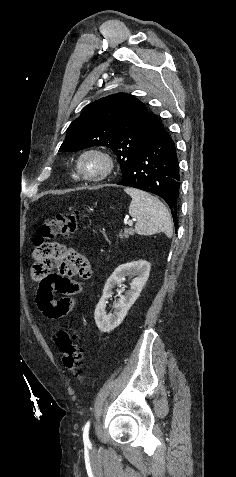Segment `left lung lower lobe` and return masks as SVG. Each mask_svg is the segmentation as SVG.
I'll use <instances>...</instances> for the list:
<instances>
[{
  "label": "left lung lower lobe",
  "mask_w": 236,
  "mask_h": 477,
  "mask_svg": "<svg viewBox=\"0 0 236 477\" xmlns=\"http://www.w3.org/2000/svg\"><path fill=\"white\" fill-rule=\"evenodd\" d=\"M117 184L161 197L170 207L177 229L179 162L175 144L162 123L147 145L135 155L125 177Z\"/></svg>",
  "instance_id": "left-lung-lower-lobe-1"
}]
</instances>
